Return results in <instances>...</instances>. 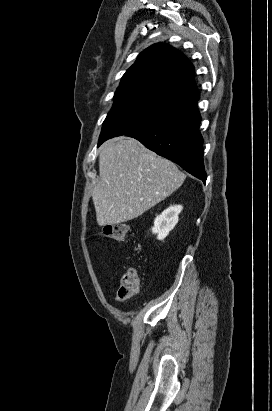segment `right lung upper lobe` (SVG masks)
I'll list each match as a JSON object with an SVG mask.
<instances>
[{
	"mask_svg": "<svg viewBox=\"0 0 272 411\" xmlns=\"http://www.w3.org/2000/svg\"><path fill=\"white\" fill-rule=\"evenodd\" d=\"M193 76L194 67L184 55L167 44L156 43L139 54L116 92H146L182 108L199 99Z\"/></svg>",
	"mask_w": 272,
	"mask_h": 411,
	"instance_id": "1",
	"label": "right lung upper lobe"
}]
</instances>
